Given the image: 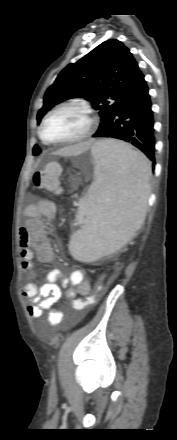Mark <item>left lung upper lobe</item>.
<instances>
[{"label": "left lung upper lobe", "mask_w": 177, "mask_h": 440, "mask_svg": "<svg viewBox=\"0 0 177 440\" xmlns=\"http://www.w3.org/2000/svg\"><path fill=\"white\" fill-rule=\"evenodd\" d=\"M142 75L138 63L122 42L107 40L76 63L65 67L48 88L38 123L54 105L74 97H82L99 110L100 126L118 108ZM41 152L35 145L33 154Z\"/></svg>", "instance_id": "left-lung-upper-lobe-1"}]
</instances>
